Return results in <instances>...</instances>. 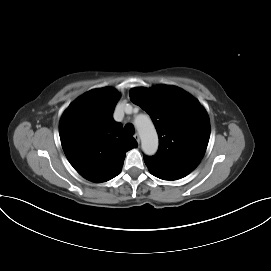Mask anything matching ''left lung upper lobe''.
<instances>
[{
    "label": "left lung upper lobe",
    "mask_w": 271,
    "mask_h": 271,
    "mask_svg": "<svg viewBox=\"0 0 271 271\" xmlns=\"http://www.w3.org/2000/svg\"><path fill=\"white\" fill-rule=\"evenodd\" d=\"M130 99L150 115L159 136V150L148 159L193 171L210 137L209 117L201 104L184 90L167 85L133 88Z\"/></svg>",
    "instance_id": "1"
}]
</instances>
